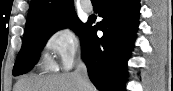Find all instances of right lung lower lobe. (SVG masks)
I'll return each mask as SVG.
<instances>
[{"label":"right lung lower lobe","mask_w":173,"mask_h":91,"mask_svg":"<svg viewBox=\"0 0 173 91\" xmlns=\"http://www.w3.org/2000/svg\"><path fill=\"white\" fill-rule=\"evenodd\" d=\"M101 22L88 21L81 36L82 56L100 91H121L126 62L138 29L139 0H103ZM97 30L103 31L99 38Z\"/></svg>","instance_id":"obj_1"}]
</instances>
